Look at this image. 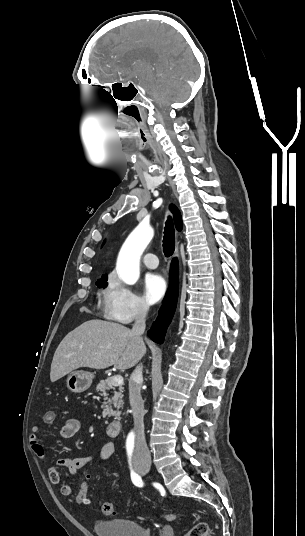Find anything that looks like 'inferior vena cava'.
Segmentation results:
<instances>
[{
	"label": "inferior vena cava",
	"instance_id": "obj_1",
	"mask_svg": "<svg viewBox=\"0 0 305 536\" xmlns=\"http://www.w3.org/2000/svg\"><path fill=\"white\" fill-rule=\"evenodd\" d=\"M148 312V306H140L137 310V316L135 324L131 330L132 334L136 338H141L146 328V314ZM142 368L141 364L135 368L131 378L129 380V402L132 408V414L134 418V426L136 430V442L134 450L135 460L140 462H150V452L147 448L145 434H144V402L141 398L140 388L142 384Z\"/></svg>",
	"mask_w": 305,
	"mask_h": 536
}]
</instances>
